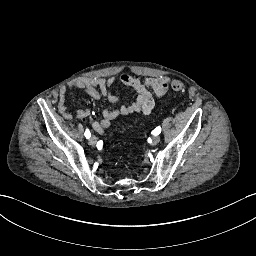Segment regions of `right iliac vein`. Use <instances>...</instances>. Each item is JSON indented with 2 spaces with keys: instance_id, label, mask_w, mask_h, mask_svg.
Segmentation results:
<instances>
[{
  "instance_id": "63e3f726",
  "label": "right iliac vein",
  "mask_w": 256,
  "mask_h": 256,
  "mask_svg": "<svg viewBox=\"0 0 256 256\" xmlns=\"http://www.w3.org/2000/svg\"><path fill=\"white\" fill-rule=\"evenodd\" d=\"M96 143H97L96 137H95V136L90 137V139H89V144H90L91 146H95Z\"/></svg>"
}]
</instances>
